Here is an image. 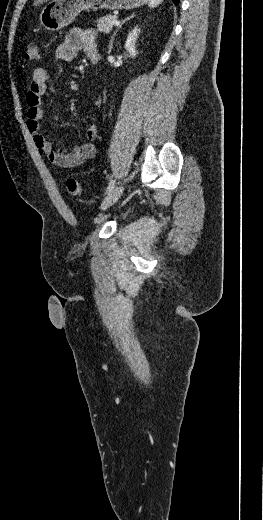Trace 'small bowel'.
Segmentation results:
<instances>
[{"mask_svg": "<svg viewBox=\"0 0 263 520\" xmlns=\"http://www.w3.org/2000/svg\"><path fill=\"white\" fill-rule=\"evenodd\" d=\"M96 34L90 29H72L64 41L58 45L55 57L62 62L73 61L78 52L83 50L88 57L97 53ZM53 87L49 84V74L44 67H36L33 70L32 82L26 94L27 127L33 137L37 150L51 163L62 168H74L83 164L95 155L96 148L93 141L97 138L99 128L96 124H90L86 131L87 142L75 146L72 149H55L48 139L41 133L40 123L45 116L42 108L43 97L52 92Z\"/></svg>", "mask_w": 263, "mask_h": 520, "instance_id": "obj_1", "label": "small bowel"}]
</instances>
